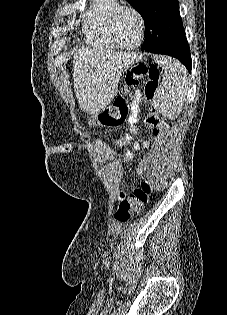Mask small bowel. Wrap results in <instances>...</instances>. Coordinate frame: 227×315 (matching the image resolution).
<instances>
[{"instance_id": "obj_1", "label": "small bowel", "mask_w": 227, "mask_h": 315, "mask_svg": "<svg viewBox=\"0 0 227 315\" xmlns=\"http://www.w3.org/2000/svg\"><path fill=\"white\" fill-rule=\"evenodd\" d=\"M140 98H141L140 94L137 93V101H136V103L134 105L135 113L138 112ZM135 121H136V117H133L131 119V123H134ZM129 144H132L134 150H139L141 148H147L149 146V142L145 141V140H139V141H134L133 142L131 136H129V135H124L118 141V145L119 146H125V145H129ZM132 157H133V154H132L131 151H126L123 154V159H124V162H126V163L130 162ZM141 163H142V166L144 168H146L145 160L142 159Z\"/></svg>"}]
</instances>
